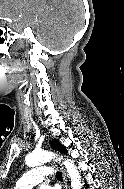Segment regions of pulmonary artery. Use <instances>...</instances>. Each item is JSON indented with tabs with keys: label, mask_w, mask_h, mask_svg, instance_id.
<instances>
[{
	"label": "pulmonary artery",
	"mask_w": 124,
	"mask_h": 189,
	"mask_svg": "<svg viewBox=\"0 0 124 189\" xmlns=\"http://www.w3.org/2000/svg\"><path fill=\"white\" fill-rule=\"evenodd\" d=\"M53 174V169L50 167H38L30 170L23 175L17 182V189H31L33 186L45 180Z\"/></svg>",
	"instance_id": "obj_1"
}]
</instances>
